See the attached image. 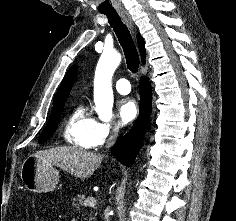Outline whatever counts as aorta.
Listing matches in <instances>:
<instances>
[{"label": "aorta", "instance_id": "aorta-1", "mask_svg": "<svg viewBox=\"0 0 236 221\" xmlns=\"http://www.w3.org/2000/svg\"><path fill=\"white\" fill-rule=\"evenodd\" d=\"M121 62L117 52L103 53L98 63V75L95 80L94 102L97 114L104 119H110L113 107L112 76Z\"/></svg>", "mask_w": 236, "mask_h": 221}]
</instances>
